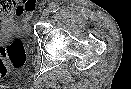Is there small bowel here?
I'll return each mask as SVG.
<instances>
[{
  "label": "small bowel",
  "instance_id": "small-bowel-1",
  "mask_svg": "<svg viewBox=\"0 0 131 89\" xmlns=\"http://www.w3.org/2000/svg\"><path fill=\"white\" fill-rule=\"evenodd\" d=\"M9 6L12 10V15L14 17L24 15L29 17L34 14L36 9V4L34 0H27L24 3L17 4V3H9ZM10 12H6L5 9H0V25L2 26H9L13 19L12 16H9Z\"/></svg>",
  "mask_w": 131,
  "mask_h": 89
}]
</instances>
